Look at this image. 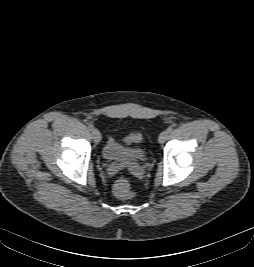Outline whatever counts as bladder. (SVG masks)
Wrapping results in <instances>:
<instances>
[{
	"mask_svg": "<svg viewBox=\"0 0 254 267\" xmlns=\"http://www.w3.org/2000/svg\"><path fill=\"white\" fill-rule=\"evenodd\" d=\"M102 154L105 159L114 161L139 160L144 157L142 149L125 147L113 136L107 139Z\"/></svg>",
	"mask_w": 254,
	"mask_h": 267,
	"instance_id": "obj_1",
	"label": "bladder"
}]
</instances>
